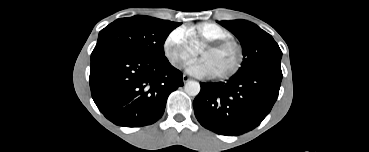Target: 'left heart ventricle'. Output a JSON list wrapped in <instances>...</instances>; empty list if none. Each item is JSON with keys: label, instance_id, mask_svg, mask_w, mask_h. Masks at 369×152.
I'll return each mask as SVG.
<instances>
[{"label": "left heart ventricle", "instance_id": "left-heart-ventricle-1", "mask_svg": "<svg viewBox=\"0 0 369 152\" xmlns=\"http://www.w3.org/2000/svg\"><path fill=\"white\" fill-rule=\"evenodd\" d=\"M200 59L207 62L212 76L229 71L235 64L237 52L234 46L228 45L217 50H203Z\"/></svg>", "mask_w": 369, "mask_h": 152}]
</instances>
